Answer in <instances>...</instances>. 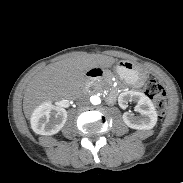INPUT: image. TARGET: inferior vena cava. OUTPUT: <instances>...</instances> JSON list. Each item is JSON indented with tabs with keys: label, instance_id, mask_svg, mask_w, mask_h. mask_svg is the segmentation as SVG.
<instances>
[{
	"label": "inferior vena cava",
	"instance_id": "1",
	"mask_svg": "<svg viewBox=\"0 0 183 183\" xmlns=\"http://www.w3.org/2000/svg\"><path fill=\"white\" fill-rule=\"evenodd\" d=\"M89 103V99L87 96H80L78 99H77V104L78 105H88Z\"/></svg>",
	"mask_w": 183,
	"mask_h": 183
}]
</instances>
